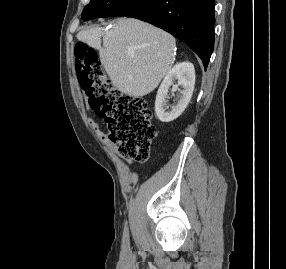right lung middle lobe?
I'll use <instances>...</instances> for the list:
<instances>
[{
	"instance_id": "obj_1",
	"label": "right lung middle lobe",
	"mask_w": 286,
	"mask_h": 269,
	"mask_svg": "<svg viewBox=\"0 0 286 269\" xmlns=\"http://www.w3.org/2000/svg\"><path fill=\"white\" fill-rule=\"evenodd\" d=\"M151 0H90L82 12L84 21L98 17L128 16Z\"/></svg>"
}]
</instances>
